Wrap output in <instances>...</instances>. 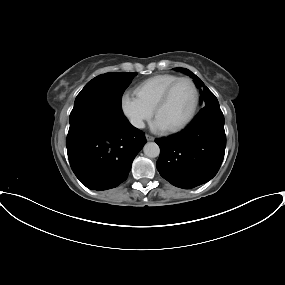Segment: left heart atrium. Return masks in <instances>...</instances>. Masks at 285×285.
<instances>
[{"mask_svg": "<svg viewBox=\"0 0 285 285\" xmlns=\"http://www.w3.org/2000/svg\"><path fill=\"white\" fill-rule=\"evenodd\" d=\"M151 129L154 131V132H165L168 130V128L166 127V125L158 118L156 117L154 119V121L152 122L151 124Z\"/></svg>", "mask_w": 285, "mask_h": 285, "instance_id": "1", "label": "left heart atrium"}]
</instances>
